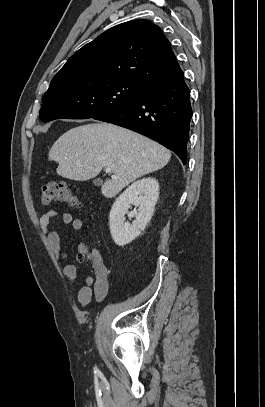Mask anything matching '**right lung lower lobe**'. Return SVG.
<instances>
[{
  "label": "right lung lower lobe",
  "instance_id": "right-lung-lower-lobe-1",
  "mask_svg": "<svg viewBox=\"0 0 265 407\" xmlns=\"http://www.w3.org/2000/svg\"><path fill=\"white\" fill-rule=\"evenodd\" d=\"M191 117L190 91L177 63L170 75L149 85L135 103L94 119L143 134L186 164Z\"/></svg>",
  "mask_w": 265,
  "mask_h": 407
}]
</instances>
